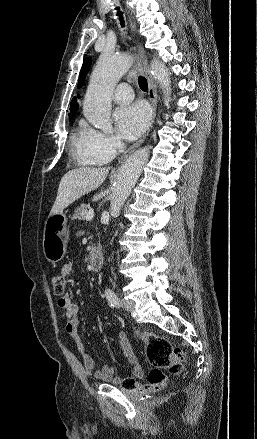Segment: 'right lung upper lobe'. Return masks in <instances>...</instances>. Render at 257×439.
Instances as JSON below:
<instances>
[{"label":"right lung upper lobe","mask_w":257,"mask_h":439,"mask_svg":"<svg viewBox=\"0 0 257 439\" xmlns=\"http://www.w3.org/2000/svg\"><path fill=\"white\" fill-rule=\"evenodd\" d=\"M77 109H78L77 99L74 97L72 99L71 104H70V112H75L76 113Z\"/></svg>","instance_id":"1"}]
</instances>
